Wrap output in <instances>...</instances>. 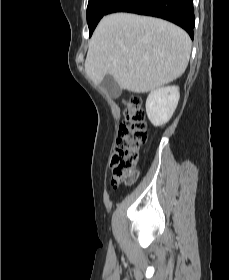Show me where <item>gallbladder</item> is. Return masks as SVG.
<instances>
[{"mask_svg": "<svg viewBox=\"0 0 229 280\" xmlns=\"http://www.w3.org/2000/svg\"><path fill=\"white\" fill-rule=\"evenodd\" d=\"M100 86L111 96L112 98H118L121 95V88L115 79L107 74L100 83Z\"/></svg>", "mask_w": 229, "mask_h": 280, "instance_id": "1", "label": "gallbladder"}]
</instances>
